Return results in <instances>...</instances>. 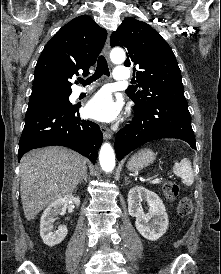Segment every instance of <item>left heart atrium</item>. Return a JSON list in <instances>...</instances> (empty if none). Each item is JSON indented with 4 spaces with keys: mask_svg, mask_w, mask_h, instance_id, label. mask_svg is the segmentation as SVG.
<instances>
[{
    "mask_svg": "<svg viewBox=\"0 0 221 274\" xmlns=\"http://www.w3.org/2000/svg\"><path fill=\"white\" fill-rule=\"evenodd\" d=\"M120 110L121 102L114 100L108 91L97 93L85 107V113L88 117L102 122L114 120Z\"/></svg>",
    "mask_w": 221,
    "mask_h": 274,
    "instance_id": "obj_1",
    "label": "left heart atrium"
}]
</instances>
